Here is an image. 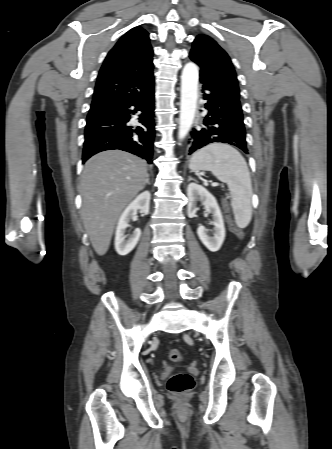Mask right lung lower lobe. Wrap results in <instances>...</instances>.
<instances>
[{"label":"right lung lower lobe","mask_w":332,"mask_h":449,"mask_svg":"<svg viewBox=\"0 0 332 449\" xmlns=\"http://www.w3.org/2000/svg\"><path fill=\"white\" fill-rule=\"evenodd\" d=\"M133 116H138V125L129 123ZM154 127V88L144 96L90 110L85 127L83 163L98 152L119 149L151 164Z\"/></svg>","instance_id":"right-lung-lower-lobe-1"}]
</instances>
